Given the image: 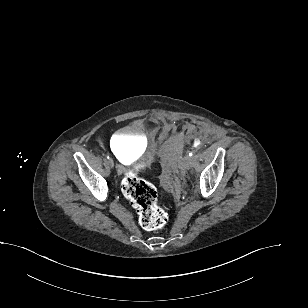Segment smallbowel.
Returning <instances> with one entry per match:
<instances>
[{"label":"small bowel","mask_w":308,"mask_h":308,"mask_svg":"<svg viewBox=\"0 0 308 308\" xmlns=\"http://www.w3.org/2000/svg\"><path fill=\"white\" fill-rule=\"evenodd\" d=\"M187 129H188L189 131H192V130H193V126H192V125H188V126H187Z\"/></svg>","instance_id":"small-bowel-1"}]
</instances>
